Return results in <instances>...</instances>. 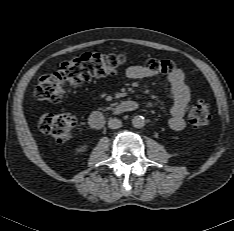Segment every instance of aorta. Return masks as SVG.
<instances>
[{
    "mask_svg": "<svg viewBox=\"0 0 234 231\" xmlns=\"http://www.w3.org/2000/svg\"><path fill=\"white\" fill-rule=\"evenodd\" d=\"M132 125L135 128H142L145 125V118L143 116L137 115L132 119Z\"/></svg>",
    "mask_w": 234,
    "mask_h": 231,
    "instance_id": "1",
    "label": "aorta"
}]
</instances>
